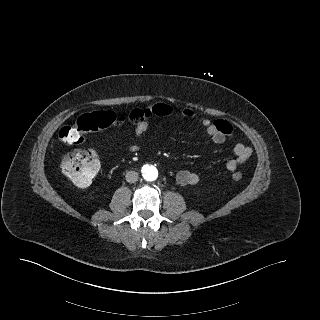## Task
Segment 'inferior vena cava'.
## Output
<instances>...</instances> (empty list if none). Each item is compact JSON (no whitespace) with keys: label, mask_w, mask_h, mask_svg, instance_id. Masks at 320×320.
I'll return each instance as SVG.
<instances>
[{"label":"inferior vena cava","mask_w":320,"mask_h":320,"mask_svg":"<svg viewBox=\"0 0 320 320\" xmlns=\"http://www.w3.org/2000/svg\"><path fill=\"white\" fill-rule=\"evenodd\" d=\"M125 178H126V181L127 182H129V183H134V182H136L137 180H138V173L137 172H135V171H128L127 173H126V176H125Z\"/></svg>","instance_id":"602c4592"}]
</instances>
